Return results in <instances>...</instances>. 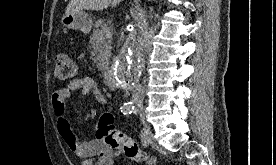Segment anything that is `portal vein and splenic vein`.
<instances>
[{
    "label": "portal vein and splenic vein",
    "instance_id": "18ae733b",
    "mask_svg": "<svg viewBox=\"0 0 276 165\" xmlns=\"http://www.w3.org/2000/svg\"><path fill=\"white\" fill-rule=\"evenodd\" d=\"M101 34L106 37H112V29L110 27H103L101 30Z\"/></svg>",
    "mask_w": 276,
    "mask_h": 165
}]
</instances>
